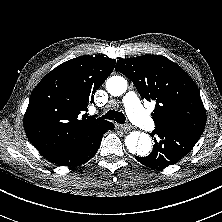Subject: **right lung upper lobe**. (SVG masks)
<instances>
[{
	"label": "right lung upper lobe",
	"mask_w": 222,
	"mask_h": 222,
	"mask_svg": "<svg viewBox=\"0 0 222 222\" xmlns=\"http://www.w3.org/2000/svg\"><path fill=\"white\" fill-rule=\"evenodd\" d=\"M115 59L81 56L62 63L34 88L24 115V129L44 157L83 144L108 121L84 114L95 91L115 66Z\"/></svg>",
	"instance_id": "right-lung-upper-lobe-1"
}]
</instances>
